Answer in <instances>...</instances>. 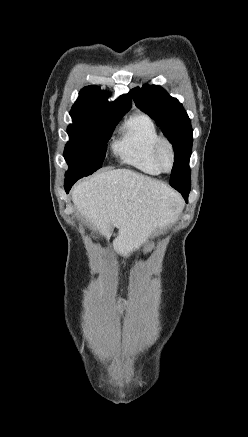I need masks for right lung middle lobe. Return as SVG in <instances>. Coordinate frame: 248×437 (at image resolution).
<instances>
[{
    "instance_id": "right-lung-middle-lobe-1",
    "label": "right lung middle lobe",
    "mask_w": 248,
    "mask_h": 437,
    "mask_svg": "<svg viewBox=\"0 0 248 437\" xmlns=\"http://www.w3.org/2000/svg\"><path fill=\"white\" fill-rule=\"evenodd\" d=\"M121 118L91 121L72 117L73 123L67 128L70 141L64 151L69 166L66 177L82 178L101 168L107 142Z\"/></svg>"
}]
</instances>
